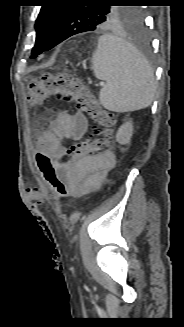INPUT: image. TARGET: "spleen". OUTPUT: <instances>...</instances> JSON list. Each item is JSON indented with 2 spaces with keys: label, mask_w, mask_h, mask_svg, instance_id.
Returning a JSON list of instances; mask_svg holds the SVG:
<instances>
[{
  "label": "spleen",
  "mask_w": 184,
  "mask_h": 327,
  "mask_svg": "<svg viewBox=\"0 0 184 327\" xmlns=\"http://www.w3.org/2000/svg\"><path fill=\"white\" fill-rule=\"evenodd\" d=\"M92 68L98 79L106 81L99 94L104 108L128 112L152 103L156 91L153 69L129 42L110 34L100 36Z\"/></svg>",
  "instance_id": "obj_1"
}]
</instances>
